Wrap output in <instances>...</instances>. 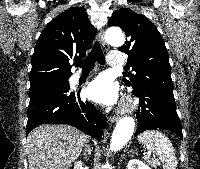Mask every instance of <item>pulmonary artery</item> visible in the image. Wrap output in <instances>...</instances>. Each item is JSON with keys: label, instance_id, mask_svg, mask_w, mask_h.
<instances>
[{"label": "pulmonary artery", "instance_id": "pulmonary-artery-1", "mask_svg": "<svg viewBox=\"0 0 200 169\" xmlns=\"http://www.w3.org/2000/svg\"><path fill=\"white\" fill-rule=\"evenodd\" d=\"M108 64L110 66H123L125 64V56L121 51H112L109 54ZM79 76L75 77V80H78Z\"/></svg>", "mask_w": 200, "mask_h": 169}]
</instances>
